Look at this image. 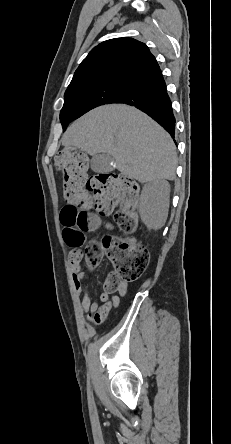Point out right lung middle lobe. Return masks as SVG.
Listing matches in <instances>:
<instances>
[{
    "instance_id": "obj_1",
    "label": "right lung middle lobe",
    "mask_w": 231,
    "mask_h": 444,
    "mask_svg": "<svg viewBox=\"0 0 231 444\" xmlns=\"http://www.w3.org/2000/svg\"><path fill=\"white\" fill-rule=\"evenodd\" d=\"M132 87L120 83H105L92 87L66 90L64 105L60 113L63 130L69 122L79 118L89 110L108 103H114Z\"/></svg>"
}]
</instances>
